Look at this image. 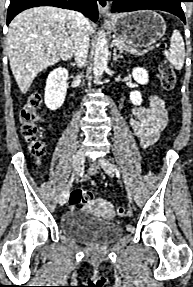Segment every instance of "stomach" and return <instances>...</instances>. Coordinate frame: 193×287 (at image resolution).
<instances>
[{"mask_svg":"<svg viewBox=\"0 0 193 287\" xmlns=\"http://www.w3.org/2000/svg\"><path fill=\"white\" fill-rule=\"evenodd\" d=\"M110 24L120 39L136 48L154 44L166 31L163 17L151 10L119 14Z\"/></svg>","mask_w":193,"mask_h":287,"instance_id":"stomach-1","label":"stomach"}]
</instances>
